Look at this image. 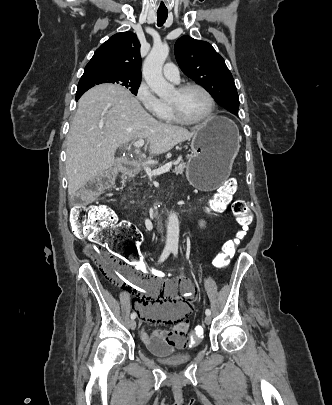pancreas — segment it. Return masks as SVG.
I'll return each instance as SVG.
<instances>
[{"label": "pancreas", "instance_id": "obj_1", "mask_svg": "<svg viewBox=\"0 0 332 405\" xmlns=\"http://www.w3.org/2000/svg\"><path fill=\"white\" fill-rule=\"evenodd\" d=\"M174 165H175V169H174L173 173H175L176 175H183L185 164H183V163L178 164L177 162H174Z\"/></svg>", "mask_w": 332, "mask_h": 405}]
</instances>
